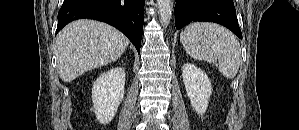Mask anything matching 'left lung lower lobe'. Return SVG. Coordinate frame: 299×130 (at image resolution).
I'll return each mask as SVG.
<instances>
[{"mask_svg":"<svg viewBox=\"0 0 299 130\" xmlns=\"http://www.w3.org/2000/svg\"><path fill=\"white\" fill-rule=\"evenodd\" d=\"M175 26L181 29L191 21L219 23L242 39L232 0H176Z\"/></svg>","mask_w":299,"mask_h":130,"instance_id":"1","label":"left lung lower lobe"}]
</instances>
